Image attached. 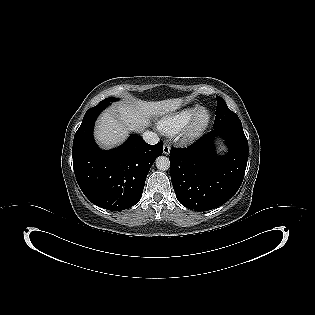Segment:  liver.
<instances>
[{"mask_svg": "<svg viewBox=\"0 0 315 315\" xmlns=\"http://www.w3.org/2000/svg\"><path fill=\"white\" fill-rule=\"evenodd\" d=\"M182 102L181 98H173L120 103L101 115L97 122L95 137L103 147H114L123 142L130 131L144 130L149 125L151 117L174 112L180 108Z\"/></svg>", "mask_w": 315, "mask_h": 315, "instance_id": "liver-1", "label": "liver"}]
</instances>
